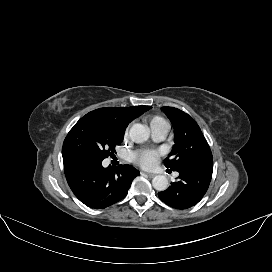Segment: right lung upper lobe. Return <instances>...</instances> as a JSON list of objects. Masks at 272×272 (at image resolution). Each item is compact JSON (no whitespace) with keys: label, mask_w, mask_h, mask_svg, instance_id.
Returning a JSON list of instances; mask_svg holds the SVG:
<instances>
[{"label":"right lung upper lobe","mask_w":272,"mask_h":272,"mask_svg":"<svg viewBox=\"0 0 272 272\" xmlns=\"http://www.w3.org/2000/svg\"><path fill=\"white\" fill-rule=\"evenodd\" d=\"M150 106H137V107H107L100 108L91 113L101 115L115 121L122 128L126 129L127 125L136 117L149 110Z\"/></svg>","instance_id":"1"}]
</instances>
